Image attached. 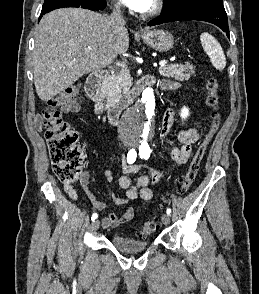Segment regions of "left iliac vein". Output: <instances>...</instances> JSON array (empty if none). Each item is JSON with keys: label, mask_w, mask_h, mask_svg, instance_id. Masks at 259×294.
I'll list each match as a JSON object with an SVG mask.
<instances>
[{"label": "left iliac vein", "mask_w": 259, "mask_h": 294, "mask_svg": "<svg viewBox=\"0 0 259 294\" xmlns=\"http://www.w3.org/2000/svg\"><path fill=\"white\" fill-rule=\"evenodd\" d=\"M161 219L164 225L170 224V216L168 214H163Z\"/></svg>", "instance_id": "obj_1"}]
</instances>
